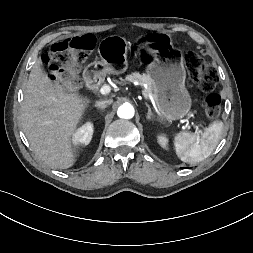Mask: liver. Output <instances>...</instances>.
<instances>
[{
  "instance_id": "1",
  "label": "liver",
  "mask_w": 253,
  "mask_h": 253,
  "mask_svg": "<svg viewBox=\"0 0 253 253\" xmlns=\"http://www.w3.org/2000/svg\"><path fill=\"white\" fill-rule=\"evenodd\" d=\"M90 100L67 92L32 67L22 103L21 125L35 155L47 166L67 169L76 161L73 135Z\"/></svg>"
}]
</instances>
